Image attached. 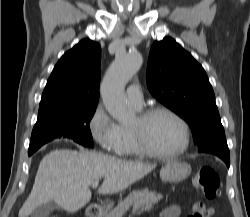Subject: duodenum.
I'll return each instance as SVG.
<instances>
[{
	"instance_id": "410a0bca",
	"label": "duodenum",
	"mask_w": 250,
	"mask_h": 217,
	"mask_svg": "<svg viewBox=\"0 0 250 217\" xmlns=\"http://www.w3.org/2000/svg\"><path fill=\"white\" fill-rule=\"evenodd\" d=\"M102 213V209L96 204H91L86 209L87 217H101Z\"/></svg>"
}]
</instances>
